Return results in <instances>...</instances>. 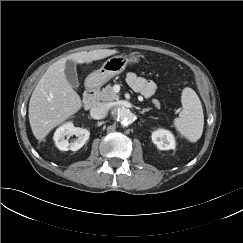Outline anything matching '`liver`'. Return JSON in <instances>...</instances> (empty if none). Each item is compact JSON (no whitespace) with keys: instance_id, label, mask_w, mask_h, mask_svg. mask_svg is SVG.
<instances>
[{"instance_id":"6515ba94","label":"liver","mask_w":243,"mask_h":243,"mask_svg":"<svg viewBox=\"0 0 243 243\" xmlns=\"http://www.w3.org/2000/svg\"><path fill=\"white\" fill-rule=\"evenodd\" d=\"M118 51L98 49L73 53L53 63L37 83L29 102V122L33 135L43 140L48 133L82 108V100L65 76L67 60L91 63Z\"/></svg>"}]
</instances>
